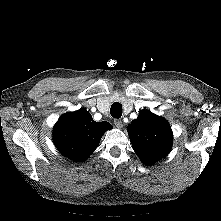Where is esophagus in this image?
I'll use <instances>...</instances> for the list:
<instances>
[{
	"instance_id": "34e87169",
	"label": "esophagus",
	"mask_w": 221,
	"mask_h": 221,
	"mask_svg": "<svg viewBox=\"0 0 221 221\" xmlns=\"http://www.w3.org/2000/svg\"><path fill=\"white\" fill-rule=\"evenodd\" d=\"M114 124H115V126L117 127V128H122V126H123V124H122V121L121 120H119V119H115L114 120Z\"/></svg>"
}]
</instances>
